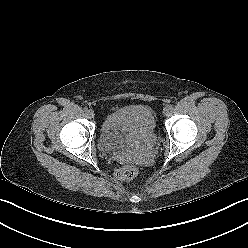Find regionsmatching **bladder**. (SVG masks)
Listing matches in <instances>:
<instances>
[{
    "mask_svg": "<svg viewBox=\"0 0 248 248\" xmlns=\"http://www.w3.org/2000/svg\"><path fill=\"white\" fill-rule=\"evenodd\" d=\"M117 126L125 130L124 135L100 134L99 145L106 152L119 150L134 140L144 137H155L156 117L147 106L129 105L119 108L115 112Z\"/></svg>",
    "mask_w": 248,
    "mask_h": 248,
    "instance_id": "bladder-1",
    "label": "bladder"
}]
</instances>
